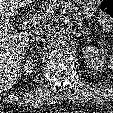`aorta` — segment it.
Wrapping results in <instances>:
<instances>
[{
    "label": "aorta",
    "instance_id": "obj_1",
    "mask_svg": "<svg viewBox=\"0 0 113 113\" xmlns=\"http://www.w3.org/2000/svg\"><path fill=\"white\" fill-rule=\"evenodd\" d=\"M70 41L69 33L63 29H56L51 35V44L56 47H64Z\"/></svg>",
    "mask_w": 113,
    "mask_h": 113
}]
</instances>
